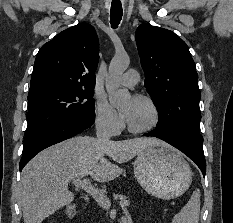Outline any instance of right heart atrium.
<instances>
[{"label": "right heart atrium", "instance_id": "1", "mask_svg": "<svg viewBox=\"0 0 233 223\" xmlns=\"http://www.w3.org/2000/svg\"><path fill=\"white\" fill-rule=\"evenodd\" d=\"M95 124L97 129L110 135L118 134L122 127L118 114L104 100L96 101Z\"/></svg>", "mask_w": 233, "mask_h": 223}]
</instances>
